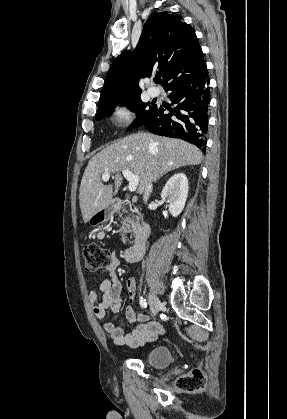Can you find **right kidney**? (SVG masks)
I'll list each match as a JSON object with an SVG mask.
<instances>
[{"label": "right kidney", "mask_w": 287, "mask_h": 419, "mask_svg": "<svg viewBox=\"0 0 287 419\" xmlns=\"http://www.w3.org/2000/svg\"><path fill=\"white\" fill-rule=\"evenodd\" d=\"M188 196V179L185 174H174L165 184L161 198L166 200L169 212L173 217L180 215Z\"/></svg>", "instance_id": "right-kidney-1"}]
</instances>
